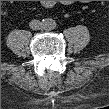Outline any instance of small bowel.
<instances>
[{
    "mask_svg": "<svg viewBox=\"0 0 109 109\" xmlns=\"http://www.w3.org/2000/svg\"><path fill=\"white\" fill-rule=\"evenodd\" d=\"M44 5H45V6H50V5H51V1H45V2H44Z\"/></svg>",
    "mask_w": 109,
    "mask_h": 109,
    "instance_id": "small-bowel-1",
    "label": "small bowel"
}]
</instances>
